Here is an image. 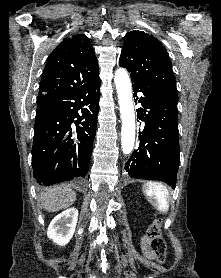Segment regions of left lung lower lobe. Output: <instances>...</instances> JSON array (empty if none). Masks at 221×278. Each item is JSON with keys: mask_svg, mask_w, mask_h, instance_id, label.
<instances>
[{"mask_svg": "<svg viewBox=\"0 0 221 278\" xmlns=\"http://www.w3.org/2000/svg\"><path fill=\"white\" fill-rule=\"evenodd\" d=\"M132 83L134 97L142 92L137 97L142 105L137 118L145 126L125 170L132 178L160 180L174 188L180 161L177 99L137 81Z\"/></svg>", "mask_w": 221, "mask_h": 278, "instance_id": "obj_1", "label": "left lung lower lobe"}]
</instances>
